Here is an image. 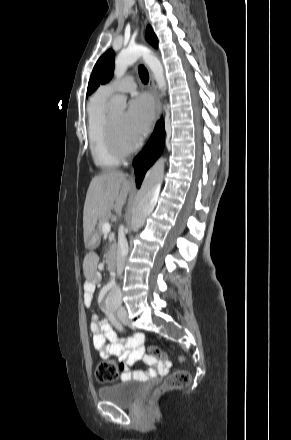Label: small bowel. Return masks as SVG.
<instances>
[{"label":"small bowel","instance_id":"small-bowel-1","mask_svg":"<svg viewBox=\"0 0 291 440\" xmlns=\"http://www.w3.org/2000/svg\"><path fill=\"white\" fill-rule=\"evenodd\" d=\"M99 256L91 252L85 256L83 262L86 282L83 287V304L89 308L93 301L96 289V282L100 280L98 273ZM94 347L102 359L118 360V368L123 379H136L147 381L150 378L164 376L172 367L170 361H157L155 358L147 357L140 337L132 339L121 338L115 330L100 316L93 315L91 321ZM137 361H143L150 366L149 371H132Z\"/></svg>","mask_w":291,"mask_h":440}]
</instances>
